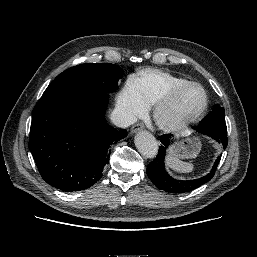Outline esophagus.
<instances>
[{"label":"esophagus","instance_id":"34e87169","mask_svg":"<svg viewBox=\"0 0 257 257\" xmlns=\"http://www.w3.org/2000/svg\"><path fill=\"white\" fill-rule=\"evenodd\" d=\"M143 128H144L143 124L142 123H138V124L134 125L131 128L130 132L133 134V133H135L137 131L143 130Z\"/></svg>","mask_w":257,"mask_h":257}]
</instances>
